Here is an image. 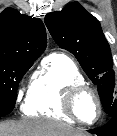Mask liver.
I'll list each match as a JSON object with an SVG mask.
<instances>
[{
	"label": "liver",
	"mask_w": 117,
	"mask_h": 136,
	"mask_svg": "<svg viewBox=\"0 0 117 136\" xmlns=\"http://www.w3.org/2000/svg\"><path fill=\"white\" fill-rule=\"evenodd\" d=\"M0 136H89L85 131L51 120L26 119L0 123Z\"/></svg>",
	"instance_id": "6515ba94"
}]
</instances>
